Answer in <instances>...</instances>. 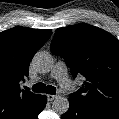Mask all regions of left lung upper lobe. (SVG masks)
<instances>
[{
    "label": "left lung upper lobe",
    "instance_id": "obj_1",
    "mask_svg": "<svg viewBox=\"0 0 119 119\" xmlns=\"http://www.w3.org/2000/svg\"><path fill=\"white\" fill-rule=\"evenodd\" d=\"M51 52L64 58L73 77L86 78L70 99L119 117V41L113 35L88 24L58 28Z\"/></svg>",
    "mask_w": 119,
    "mask_h": 119
}]
</instances>
